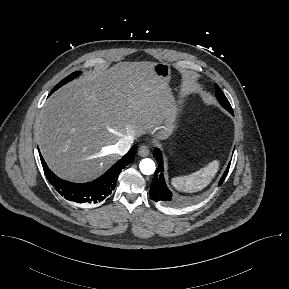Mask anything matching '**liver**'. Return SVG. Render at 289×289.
<instances>
[{
    "mask_svg": "<svg viewBox=\"0 0 289 289\" xmlns=\"http://www.w3.org/2000/svg\"><path fill=\"white\" fill-rule=\"evenodd\" d=\"M151 62H119L54 92L36 121L43 158L60 178L88 182L119 158L125 135L154 134L172 107L165 80Z\"/></svg>",
    "mask_w": 289,
    "mask_h": 289,
    "instance_id": "6515ba94",
    "label": "liver"
}]
</instances>
